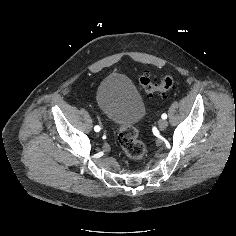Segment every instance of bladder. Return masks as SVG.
<instances>
[{
  "label": "bladder",
  "mask_w": 236,
  "mask_h": 236,
  "mask_svg": "<svg viewBox=\"0 0 236 236\" xmlns=\"http://www.w3.org/2000/svg\"><path fill=\"white\" fill-rule=\"evenodd\" d=\"M96 100L102 112L118 127L134 126L146 113L140 93L123 74L104 78L97 87Z\"/></svg>",
  "instance_id": "obj_1"
}]
</instances>
